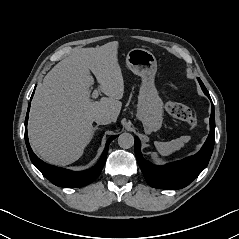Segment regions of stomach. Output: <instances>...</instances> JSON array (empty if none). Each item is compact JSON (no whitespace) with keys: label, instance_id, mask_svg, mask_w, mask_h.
<instances>
[{"label":"stomach","instance_id":"0dacf381","mask_svg":"<svg viewBox=\"0 0 239 239\" xmlns=\"http://www.w3.org/2000/svg\"><path fill=\"white\" fill-rule=\"evenodd\" d=\"M128 68L142 78L138 96L137 118L147 133L160 129L163 121V101L154 85L157 71L155 56L148 50L134 48L126 57Z\"/></svg>","mask_w":239,"mask_h":239}]
</instances>
